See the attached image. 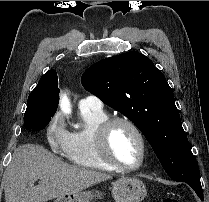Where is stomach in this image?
Segmentation results:
<instances>
[{
  "mask_svg": "<svg viewBox=\"0 0 209 202\" xmlns=\"http://www.w3.org/2000/svg\"><path fill=\"white\" fill-rule=\"evenodd\" d=\"M111 193L116 202H142L147 195L145 184L132 177H121L112 184ZM102 193L96 191H81L58 197L55 202H90L99 199Z\"/></svg>",
  "mask_w": 209,
  "mask_h": 202,
  "instance_id": "obj_1",
  "label": "stomach"
}]
</instances>
